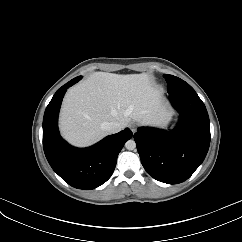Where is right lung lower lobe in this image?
I'll return each mask as SVG.
<instances>
[{"instance_id": "obj_1", "label": "right lung lower lobe", "mask_w": 242, "mask_h": 242, "mask_svg": "<svg viewBox=\"0 0 242 242\" xmlns=\"http://www.w3.org/2000/svg\"><path fill=\"white\" fill-rule=\"evenodd\" d=\"M78 76L57 90L43 118V148L52 169L69 185L91 190L112 175L119 152L132 137L129 128L110 135L88 148H75L65 142L58 130V114L66 90L78 82Z\"/></svg>"}]
</instances>
